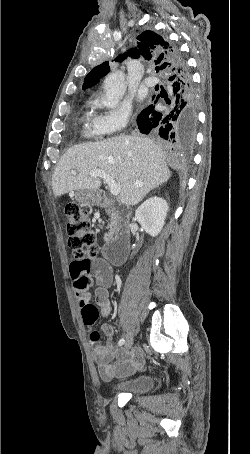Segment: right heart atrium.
I'll return each mask as SVG.
<instances>
[{"label": "right heart atrium", "instance_id": "obj_1", "mask_svg": "<svg viewBox=\"0 0 250 454\" xmlns=\"http://www.w3.org/2000/svg\"><path fill=\"white\" fill-rule=\"evenodd\" d=\"M131 109L127 104H121L97 116L96 124L101 134H114L123 131L130 120Z\"/></svg>", "mask_w": 250, "mask_h": 454}]
</instances>
